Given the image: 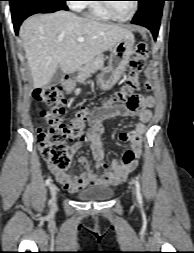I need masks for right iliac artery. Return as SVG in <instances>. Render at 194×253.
Here are the masks:
<instances>
[{"mask_svg": "<svg viewBox=\"0 0 194 253\" xmlns=\"http://www.w3.org/2000/svg\"><path fill=\"white\" fill-rule=\"evenodd\" d=\"M51 184V178H47L46 179V185L49 186ZM50 204H51V201H50Z\"/></svg>", "mask_w": 194, "mask_h": 253, "instance_id": "82829eb1", "label": "right iliac artery"}]
</instances>
